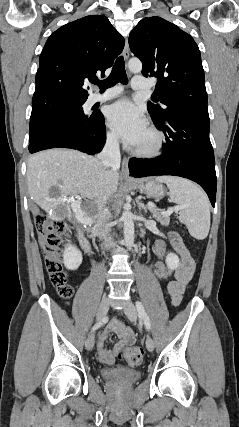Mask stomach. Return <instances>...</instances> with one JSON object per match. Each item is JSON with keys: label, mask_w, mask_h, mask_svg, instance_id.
Here are the masks:
<instances>
[{"label": "stomach", "mask_w": 239, "mask_h": 427, "mask_svg": "<svg viewBox=\"0 0 239 427\" xmlns=\"http://www.w3.org/2000/svg\"><path fill=\"white\" fill-rule=\"evenodd\" d=\"M132 186L140 193L156 199L163 198L166 192L165 187L153 179L138 180L133 182Z\"/></svg>", "instance_id": "obj_1"}]
</instances>
